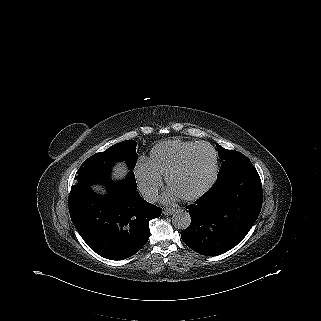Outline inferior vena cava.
Wrapping results in <instances>:
<instances>
[{
    "mask_svg": "<svg viewBox=\"0 0 321 321\" xmlns=\"http://www.w3.org/2000/svg\"><path fill=\"white\" fill-rule=\"evenodd\" d=\"M144 200L150 203H155L159 199L158 190L155 188H145L141 191Z\"/></svg>",
    "mask_w": 321,
    "mask_h": 321,
    "instance_id": "1",
    "label": "inferior vena cava"
}]
</instances>
